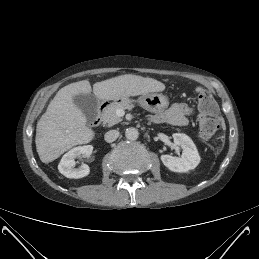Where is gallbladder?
<instances>
[{
  "instance_id": "bac80fb5",
  "label": "gallbladder",
  "mask_w": 259,
  "mask_h": 259,
  "mask_svg": "<svg viewBox=\"0 0 259 259\" xmlns=\"http://www.w3.org/2000/svg\"><path fill=\"white\" fill-rule=\"evenodd\" d=\"M73 102L88 120H93L96 117L98 98L94 94L75 95L73 96Z\"/></svg>"
}]
</instances>
